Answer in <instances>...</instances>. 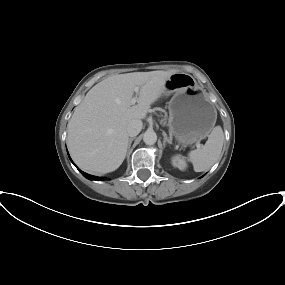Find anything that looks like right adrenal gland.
I'll return each instance as SVG.
<instances>
[{"label": "right adrenal gland", "mask_w": 285, "mask_h": 285, "mask_svg": "<svg viewBox=\"0 0 285 285\" xmlns=\"http://www.w3.org/2000/svg\"><path fill=\"white\" fill-rule=\"evenodd\" d=\"M134 139H135V138H130V139H129L128 151H129V149H130V147H131V144H132V142H133Z\"/></svg>", "instance_id": "right-adrenal-gland-1"}]
</instances>
